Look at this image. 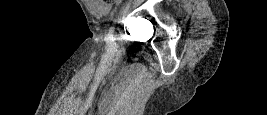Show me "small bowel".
<instances>
[{
  "mask_svg": "<svg viewBox=\"0 0 267 115\" xmlns=\"http://www.w3.org/2000/svg\"><path fill=\"white\" fill-rule=\"evenodd\" d=\"M85 2L96 14H105L109 9V6L107 4L102 3L98 0H85Z\"/></svg>",
  "mask_w": 267,
  "mask_h": 115,
  "instance_id": "small-bowel-1",
  "label": "small bowel"
}]
</instances>
